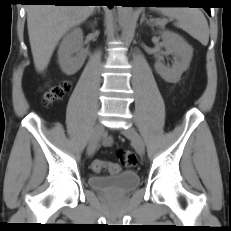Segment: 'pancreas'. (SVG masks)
I'll return each instance as SVG.
<instances>
[{
	"instance_id": "pancreas-1",
	"label": "pancreas",
	"mask_w": 231,
	"mask_h": 231,
	"mask_svg": "<svg viewBox=\"0 0 231 231\" xmlns=\"http://www.w3.org/2000/svg\"><path fill=\"white\" fill-rule=\"evenodd\" d=\"M155 24L159 25L161 27H164V25L166 24V21L165 20H156Z\"/></svg>"
}]
</instances>
